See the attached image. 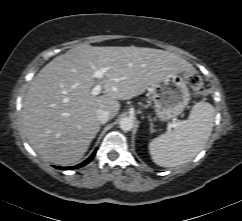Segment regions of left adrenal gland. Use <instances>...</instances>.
<instances>
[{"instance_id":"left-adrenal-gland-1","label":"left adrenal gland","mask_w":242,"mask_h":221,"mask_svg":"<svg viewBox=\"0 0 242 221\" xmlns=\"http://www.w3.org/2000/svg\"><path fill=\"white\" fill-rule=\"evenodd\" d=\"M149 118V121H150V131H151V133H153L154 132V125H153V123H152V120L150 119V117H148Z\"/></svg>"}]
</instances>
